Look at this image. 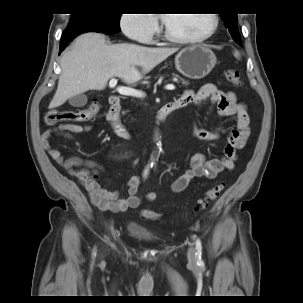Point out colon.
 I'll list each match as a JSON object with an SVG mask.
<instances>
[{
    "label": "colon",
    "instance_id": "colon-1",
    "mask_svg": "<svg viewBox=\"0 0 303 303\" xmlns=\"http://www.w3.org/2000/svg\"><path fill=\"white\" fill-rule=\"evenodd\" d=\"M226 79L236 85H241V77L237 70L235 69H228L225 72ZM98 104L97 102H93L88 107L77 110V111H69V112H60L56 110H48L44 115V123L47 126H55L60 122H84L89 121L93 118V116L98 111ZM224 188V184H219L210 188L206 194L198 200L196 205V211L203 210L209 203L214 201L221 193L222 189ZM141 217L146 220H157L159 215L151 210H143L141 213Z\"/></svg>",
    "mask_w": 303,
    "mask_h": 303
}]
</instances>
